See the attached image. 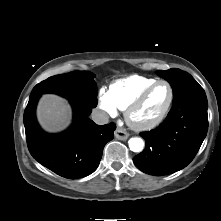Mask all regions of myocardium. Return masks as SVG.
Returning a JSON list of instances; mask_svg holds the SVG:
<instances>
[{
    "mask_svg": "<svg viewBox=\"0 0 221 221\" xmlns=\"http://www.w3.org/2000/svg\"><path fill=\"white\" fill-rule=\"evenodd\" d=\"M160 84H165L169 88V99L168 102L161 112V114L150 121H140L137 119L136 114L140 107L144 104L150 93ZM174 101V89L172 85L166 81V80H157L151 85H149L147 88H145L138 96L137 98L129 105V107L126 109V120L128 124L135 130L138 131H149L156 127H158L160 124L164 122V120L167 118L172 105Z\"/></svg>",
    "mask_w": 221,
    "mask_h": 221,
    "instance_id": "myocardium-1",
    "label": "myocardium"
}]
</instances>
